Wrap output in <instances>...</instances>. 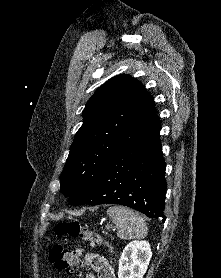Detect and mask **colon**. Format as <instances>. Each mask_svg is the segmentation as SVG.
Masks as SVG:
<instances>
[{"instance_id":"5ec220e1","label":"colon","mask_w":221,"mask_h":278,"mask_svg":"<svg viewBox=\"0 0 221 278\" xmlns=\"http://www.w3.org/2000/svg\"><path fill=\"white\" fill-rule=\"evenodd\" d=\"M55 234L58 236L69 235L72 237H79L88 242L92 246L105 245L101 236L83 227L79 222L74 221L69 224L61 223L55 227ZM109 248L110 246L107 245ZM79 250H74L60 244H53L48 252L49 262L59 270H65L69 273H79Z\"/></svg>"}]
</instances>
